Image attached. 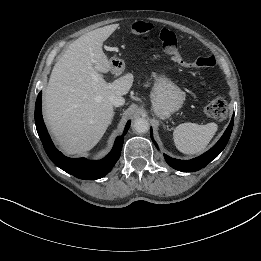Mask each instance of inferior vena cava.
<instances>
[{"instance_id": "1", "label": "inferior vena cava", "mask_w": 261, "mask_h": 261, "mask_svg": "<svg viewBox=\"0 0 261 261\" xmlns=\"http://www.w3.org/2000/svg\"><path fill=\"white\" fill-rule=\"evenodd\" d=\"M109 101L115 107H120L125 103V99L120 95H111Z\"/></svg>"}]
</instances>
